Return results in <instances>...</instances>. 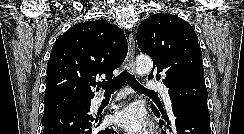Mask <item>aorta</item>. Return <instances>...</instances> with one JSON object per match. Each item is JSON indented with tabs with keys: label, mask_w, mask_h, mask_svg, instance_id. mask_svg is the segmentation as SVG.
I'll return each mask as SVG.
<instances>
[{
	"label": "aorta",
	"mask_w": 244,
	"mask_h": 134,
	"mask_svg": "<svg viewBox=\"0 0 244 134\" xmlns=\"http://www.w3.org/2000/svg\"><path fill=\"white\" fill-rule=\"evenodd\" d=\"M153 67V62L150 57L140 55L136 58V73L138 75L148 74Z\"/></svg>",
	"instance_id": "1"
}]
</instances>
